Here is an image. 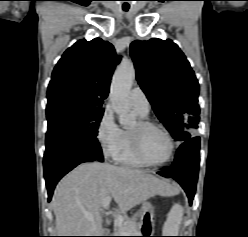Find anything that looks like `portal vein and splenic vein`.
I'll use <instances>...</instances> for the list:
<instances>
[{
  "mask_svg": "<svg viewBox=\"0 0 248 237\" xmlns=\"http://www.w3.org/2000/svg\"><path fill=\"white\" fill-rule=\"evenodd\" d=\"M112 200V197L111 196H107L104 201H103V208L104 209H108L109 208V204ZM114 220L115 222L118 224V226H121L123 224V217L121 215H118V214H114ZM86 218L89 219V220H93V217L89 214H86Z\"/></svg>",
  "mask_w": 248,
  "mask_h": 237,
  "instance_id": "1",
  "label": "portal vein and splenic vein"
}]
</instances>
